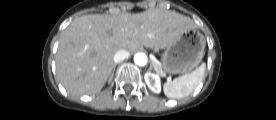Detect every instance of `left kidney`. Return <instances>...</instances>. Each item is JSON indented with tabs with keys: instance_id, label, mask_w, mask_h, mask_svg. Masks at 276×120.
<instances>
[{
	"instance_id": "obj_1",
	"label": "left kidney",
	"mask_w": 276,
	"mask_h": 120,
	"mask_svg": "<svg viewBox=\"0 0 276 120\" xmlns=\"http://www.w3.org/2000/svg\"><path fill=\"white\" fill-rule=\"evenodd\" d=\"M145 82L149 89L155 93H159L161 91V82L158 75L147 72L144 75Z\"/></svg>"
}]
</instances>
